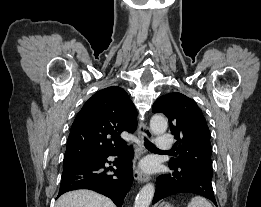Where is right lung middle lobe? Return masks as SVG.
Returning <instances> with one entry per match:
<instances>
[{"label":"right lung middle lobe","mask_w":261,"mask_h":207,"mask_svg":"<svg viewBox=\"0 0 261 207\" xmlns=\"http://www.w3.org/2000/svg\"><path fill=\"white\" fill-rule=\"evenodd\" d=\"M93 158L90 159H82V160H74V161H64V167H68V166H73V165H77V164H82V163H87V162H91Z\"/></svg>","instance_id":"1"}]
</instances>
